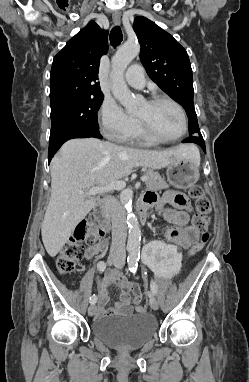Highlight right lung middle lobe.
<instances>
[{
	"instance_id": "obj_1",
	"label": "right lung middle lobe",
	"mask_w": 249,
	"mask_h": 382,
	"mask_svg": "<svg viewBox=\"0 0 249 382\" xmlns=\"http://www.w3.org/2000/svg\"><path fill=\"white\" fill-rule=\"evenodd\" d=\"M103 99L102 94L52 104L50 138L75 129H98L97 112Z\"/></svg>"
}]
</instances>
